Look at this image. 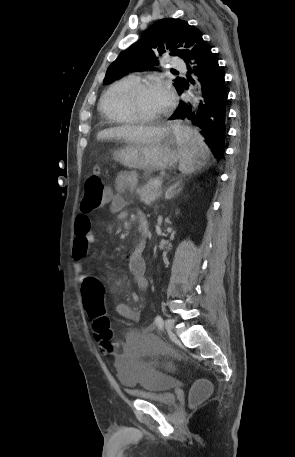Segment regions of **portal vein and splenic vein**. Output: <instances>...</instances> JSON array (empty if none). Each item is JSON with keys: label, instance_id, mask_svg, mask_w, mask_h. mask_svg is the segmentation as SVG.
Segmentation results:
<instances>
[{"label": "portal vein and splenic vein", "instance_id": "obj_1", "mask_svg": "<svg viewBox=\"0 0 295 457\" xmlns=\"http://www.w3.org/2000/svg\"><path fill=\"white\" fill-rule=\"evenodd\" d=\"M154 184H155L156 186H159V187H160V186H161V181H155Z\"/></svg>", "mask_w": 295, "mask_h": 457}]
</instances>
